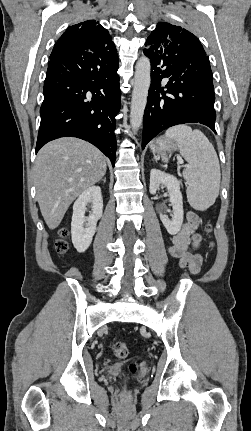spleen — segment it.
Returning a JSON list of instances; mask_svg holds the SVG:
<instances>
[{"mask_svg":"<svg viewBox=\"0 0 251 431\" xmlns=\"http://www.w3.org/2000/svg\"><path fill=\"white\" fill-rule=\"evenodd\" d=\"M163 138L177 141L181 155L189 164L183 171L189 204L195 210H206L215 203L221 180L219 160L213 145L200 130H192L188 125L169 128ZM162 160L168 162L165 156Z\"/></svg>","mask_w":251,"mask_h":431,"instance_id":"3e777b00","label":"spleen"}]
</instances>
